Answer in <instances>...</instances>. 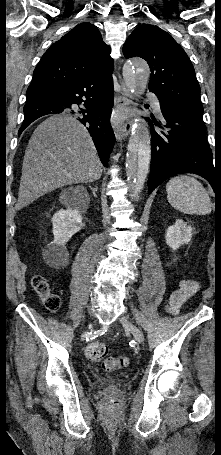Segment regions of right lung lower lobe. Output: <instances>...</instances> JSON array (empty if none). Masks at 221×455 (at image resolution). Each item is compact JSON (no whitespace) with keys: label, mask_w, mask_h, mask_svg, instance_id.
<instances>
[{"label":"right lung lower lobe","mask_w":221,"mask_h":455,"mask_svg":"<svg viewBox=\"0 0 221 455\" xmlns=\"http://www.w3.org/2000/svg\"><path fill=\"white\" fill-rule=\"evenodd\" d=\"M113 103L112 76L99 70L73 79L47 95L27 100L19 134L34 120L47 114L78 117L92 136L100 160L106 166L115 138L109 123ZM75 104H84L85 109L77 110Z\"/></svg>","instance_id":"obj_1"}]
</instances>
